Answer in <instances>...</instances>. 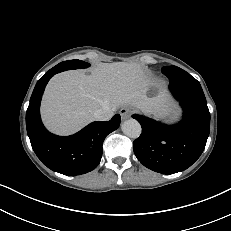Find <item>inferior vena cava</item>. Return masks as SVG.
<instances>
[{
  "instance_id": "obj_1",
  "label": "inferior vena cava",
  "mask_w": 231,
  "mask_h": 231,
  "mask_svg": "<svg viewBox=\"0 0 231 231\" xmlns=\"http://www.w3.org/2000/svg\"><path fill=\"white\" fill-rule=\"evenodd\" d=\"M114 108H110L109 106H104L98 110H96L93 114L94 118L98 121H107L112 118L114 115Z\"/></svg>"
}]
</instances>
